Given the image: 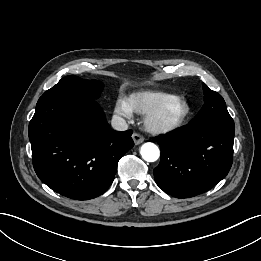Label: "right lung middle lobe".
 <instances>
[{"label": "right lung middle lobe", "mask_w": 261, "mask_h": 261, "mask_svg": "<svg viewBox=\"0 0 261 261\" xmlns=\"http://www.w3.org/2000/svg\"><path fill=\"white\" fill-rule=\"evenodd\" d=\"M103 90V83L97 80H85L69 75L62 78L54 87L41 97H66L76 100H95Z\"/></svg>", "instance_id": "1"}]
</instances>
